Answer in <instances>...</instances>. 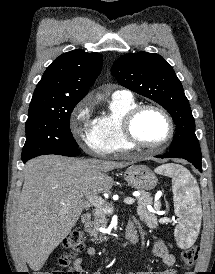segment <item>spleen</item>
I'll list each match as a JSON object with an SVG mask.
<instances>
[{"mask_svg":"<svg viewBox=\"0 0 215 274\" xmlns=\"http://www.w3.org/2000/svg\"><path fill=\"white\" fill-rule=\"evenodd\" d=\"M155 172L172 178L174 208L180 217V222L175 228V237L179 245L185 247L193 244L200 228L196 212L200 190L196 180L186 168L176 164L161 165Z\"/></svg>","mask_w":215,"mask_h":274,"instance_id":"spleen-1","label":"spleen"}]
</instances>
